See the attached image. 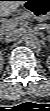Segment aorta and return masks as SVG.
Here are the masks:
<instances>
[{
	"label": "aorta",
	"mask_w": 50,
	"mask_h": 111,
	"mask_svg": "<svg viewBox=\"0 0 50 111\" xmlns=\"http://www.w3.org/2000/svg\"><path fill=\"white\" fill-rule=\"evenodd\" d=\"M25 44L30 48H36L40 44V40L36 35L30 34L26 36Z\"/></svg>",
	"instance_id": "aorta-1"
}]
</instances>
